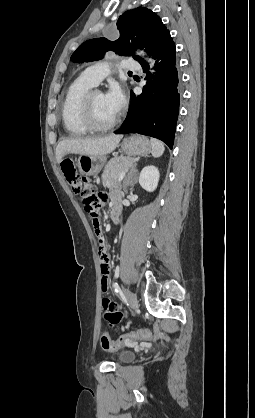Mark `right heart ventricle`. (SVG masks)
Returning a JSON list of instances; mask_svg holds the SVG:
<instances>
[{"mask_svg":"<svg viewBox=\"0 0 255 418\" xmlns=\"http://www.w3.org/2000/svg\"><path fill=\"white\" fill-rule=\"evenodd\" d=\"M89 80L80 76L68 88L61 107L64 129L71 136H83L90 130L81 120V103L85 94L94 87Z\"/></svg>","mask_w":255,"mask_h":418,"instance_id":"e07e8e85","label":"right heart ventricle"}]
</instances>
